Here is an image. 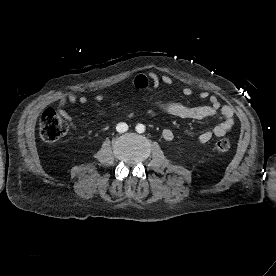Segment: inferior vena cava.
<instances>
[{
	"label": "inferior vena cava",
	"mask_w": 276,
	"mask_h": 276,
	"mask_svg": "<svg viewBox=\"0 0 276 276\" xmlns=\"http://www.w3.org/2000/svg\"><path fill=\"white\" fill-rule=\"evenodd\" d=\"M116 130L119 133H124L128 130V125L124 122H120V123L117 124Z\"/></svg>",
	"instance_id": "inferior-vena-cava-1"
}]
</instances>
